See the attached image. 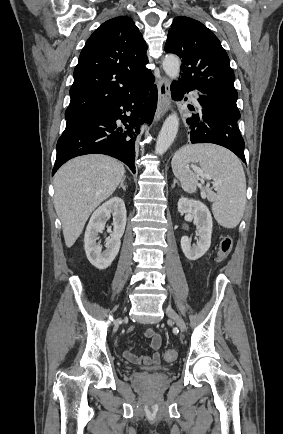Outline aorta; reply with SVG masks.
<instances>
[{"instance_id": "aorta-1", "label": "aorta", "mask_w": 283, "mask_h": 434, "mask_svg": "<svg viewBox=\"0 0 283 434\" xmlns=\"http://www.w3.org/2000/svg\"><path fill=\"white\" fill-rule=\"evenodd\" d=\"M163 70L172 80H176L180 72V61L175 55H166L163 60ZM179 128V118L176 113L169 115L158 135L155 152L159 155L164 154L173 143Z\"/></svg>"}]
</instances>
